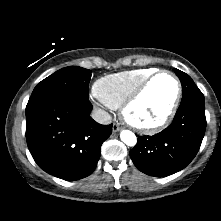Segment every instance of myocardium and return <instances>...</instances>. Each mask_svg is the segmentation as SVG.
I'll return each instance as SVG.
<instances>
[{
  "label": "myocardium",
  "instance_id": "myocardium-1",
  "mask_svg": "<svg viewBox=\"0 0 221 221\" xmlns=\"http://www.w3.org/2000/svg\"><path fill=\"white\" fill-rule=\"evenodd\" d=\"M162 74L169 75L176 84V94L173 100V103L167 112V114L158 122L150 125H143L138 124L132 121L129 118L128 112L130 108L140 99L142 94L145 92V90L148 88V86L151 84V82L157 78L158 76ZM182 97V85L179 80V78L169 70L161 69L157 70L151 75H149L147 78H145L133 91L132 93L125 99V101L122 103L120 107L121 115L124 120V122L130 126L132 129H134L137 132L144 133V134H154L162 129H164L174 118L179 104Z\"/></svg>",
  "mask_w": 221,
  "mask_h": 221
}]
</instances>
